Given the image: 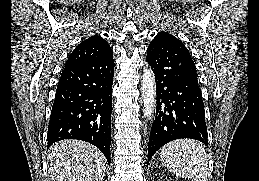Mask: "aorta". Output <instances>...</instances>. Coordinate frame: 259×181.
<instances>
[{
  "label": "aorta",
  "instance_id": "aorta-1",
  "mask_svg": "<svg viewBox=\"0 0 259 181\" xmlns=\"http://www.w3.org/2000/svg\"><path fill=\"white\" fill-rule=\"evenodd\" d=\"M144 116L150 120L153 117L156 106V83L154 72L150 68L143 71L141 81Z\"/></svg>",
  "mask_w": 259,
  "mask_h": 181
}]
</instances>
